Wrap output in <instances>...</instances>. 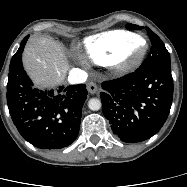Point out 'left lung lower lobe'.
<instances>
[{
    "mask_svg": "<svg viewBox=\"0 0 187 187\" xmlns=\"http://www.w3.org/2000/svg\"><path fill=\"white\" fill-rule=\"evenodd\" d=\"M103 113L123 142H141L165 123L173 100L170 66L140 67L135 72L103 82Z\"/></svg>",
    "mask_w": 187,
    "mask_h": 187,
    "instance_id": "0a47b994",
    "label": "left lung lower lobe"
}]
</instances>
